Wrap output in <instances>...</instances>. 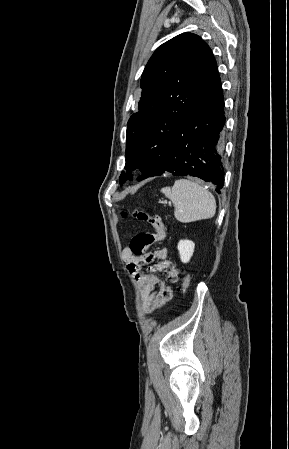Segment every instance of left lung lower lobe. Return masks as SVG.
Segmentation results:
<instances>
[{"instance_id": "obj_1", "label": "left lung lower lobe", "mask_w": 289, "mask_h": 449, "mask_svg": "<svg viewBox=\"0 0 289 449\" xmlns=\"http://www.w3.org/2000/svg\"><path fill=\"white\" fill-rule=\"evenodd\" d=\"M225 125L224 96L217 65L207 76L188 116L176 125L166 145V157L159 171L194 176L224 186L222 132ZM151 177V176H150Z\"/></svg>"}]
</instances>
